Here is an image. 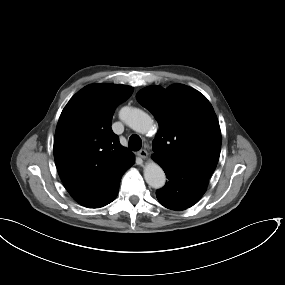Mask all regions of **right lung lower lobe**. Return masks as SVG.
I'll return each mask as SVG.
<instances>
[{
    "label": "right lung lower lobe",
    "mask_w": 285,
    "mask_h": 285,
    "mask_svg": "<svg viewBox=\"0 0 285 285\" xmlns=\"http://www.w3.org/2000/svg\"><path fill=\"white\" fill-rule=\"evenodd\" d=\"M118 188H119V184L116 186V188L111 192V194L103 202H101L98 206H96L94 208H100V207H103V206L111 203L115 199V197L117 196Z\"/></svg>",
    "instance_id": "1"
}]
</instances>
